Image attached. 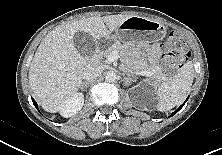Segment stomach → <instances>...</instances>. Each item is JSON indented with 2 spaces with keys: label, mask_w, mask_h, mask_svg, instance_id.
I'll return each instance as SVG.
<instances>
[{
  "label": "stomach",
  "mask_w": 222,
  "mask_h": 155,
  "mask_svg": "<svg viewBox=\"0 0 222 155\" xmlns=\"http://www.w3.org/2000/svg\"><path fill=\"white\" fill-rule=\"evenodd\" d=\"M166 35V27L158 21L139 16H131L122 23L115 34L108 36L110 41H122L129 46L157 42Z\"/></svg>",
  "instance_id": "stomach-1"
}]
</instances>
